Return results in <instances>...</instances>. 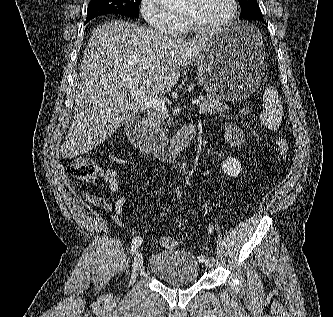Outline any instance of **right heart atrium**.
Instances as JSON below:
<instances>
[{
	"instance_id": "d8ad5b80",
	"label": "right heart atrium",
	"mask_w": 333,
	"mask_h": 317,
	"mask_svg": "<svg viewBox=\"0 0 333 317\" xmlns=\"http://www.w3.org/2000/svg\"><path fill=\"white\" fill-rule=\"evenodd\" d=\"M139 11L147 25L161 33L175 35L181 29L180 19L165 10L158 0H140Z\"/></svg>"
}]
</instances>
